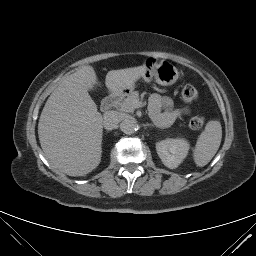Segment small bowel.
<instances>
[{
  "label": "small bowel",
  "instance_id": "small-bowel-1",
  "mask_svg": "<svg viewBox=\"0 0 256 256\" xmlns=\"http://www.w3.org/2000/svg\"><path fill=\"white\" fill-rule=\"evenodd\" d=\"M150 111L154 122L162 127L170 125L177 117L186 112L183 109L175 108L170 98L160 95L152 96Z\"/></svg>",
  "mask_w": 256,
  "mask_h": 256
}]
</instances>
